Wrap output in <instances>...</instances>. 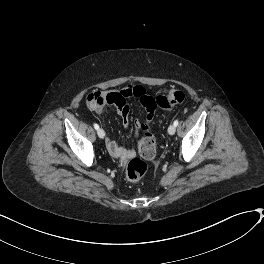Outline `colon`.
Wrapping results in <instances>:
<instances>
[{
  "instance_id": "1",
  "label": "colon",
  "mask_w": 264,
  "mask_h": 264,
  "mask_svg": "<svg viewBox=\"0 0 264 264\" xmlns=\"http://www.w3.org/2000/svg\"><path fill=\"white\" fill-rule=\"evenodd\" d=\"M137 98L143 101L148 110H154L157 107L169 109L181 104L184 99V93L181 91H170L168 93H160L155 98L145 95H138ZM138 129L143 131V136L139 141L138 150L140 155L145 159H152L156 155L155 136L149 131L147 123L138 121L136 123ZM146 163L141 159H133L127 166L126 178L129 181L136 182L142 179L146 173Z\"/></svg>"
}]
</instances>
